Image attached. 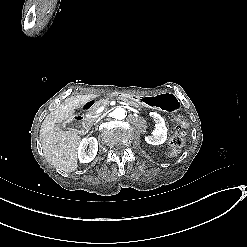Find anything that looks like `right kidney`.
I'll list each match as a JSON object with an SVG mask.
<instances>
[{"mask_svg": "<svg viewBox=\"0 0 247 247\" xmlns=\"http://www.w3.org/2000/svg\"><path fill=\"white\" fill-rule=\"evenodd\" d=\"M98 142L95 137L85 138L79 148V160L82 163L91 162L97 155Z\"/></svg>", "mask_w": 247, "mask_h": 247, "instance_id": "ca27d5eb", "label": "right kidney"}]
</instances>
